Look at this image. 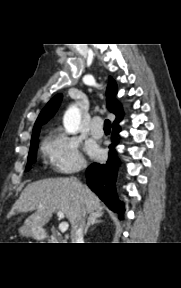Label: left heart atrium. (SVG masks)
I'll return each instance as SVG.
<instances>
[{"instance_id": "39dd6f15", "label": "left heart atrium", "mask_w": 181, "mask_h": 288, "mask_svg": "<svg viewBox=\"0 0 181 288\" xmlns=\"http://www.w3.org/2000/svg\"><path fill=\"white\" fill-rule=\"evenodd\" d=\"M88 152L93 156H97L99 154L98 150L95 147H89Z\"/></svg>"}]
</instances>
